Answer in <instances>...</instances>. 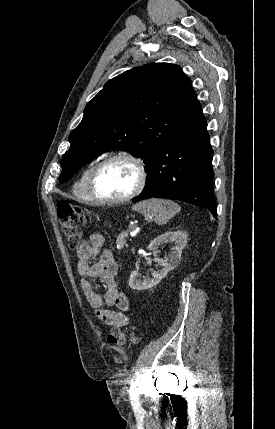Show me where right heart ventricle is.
<instances>
[{
    "instance_id": "1",
    "label": "right heart ventricle",
    "mask_w": 275,
    "mask_h": 429,
    "mask_svg": "<svg viewBox=\"0 0 275 429\" xmlns=\"http://www.w3.org/2000/svg\"><path fill=\"white\" fill-rule=\"evenodd\" d=\"M98 161L91 162L88 164L80 173L78 178L73 184L72 191L73 194L81 201L89 202L91 198L88 194L87 183L89 175Z\"/></svg>"
}]
</instances>
